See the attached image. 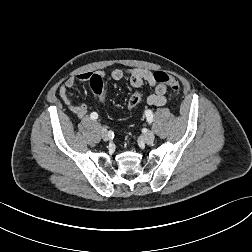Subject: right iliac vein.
Returning <instances> with one entry per match:
<instances>
[{
    "mask_svg": "<svg viewBox=\"0 0 252 252\" xmlns=\"http://www.w3.org/2000/svg\"><path fill=\"white\" fill-rule=\"evenodd\" d=\"M101 135L104 141H108L110 139L109 133L105 128L102 129Z\"/></svg>",
    "mask_w": 252,
    "mask_h": 252,
    "instance_id": "1",
    "label": "right iliac vein"
}]
</instances>
